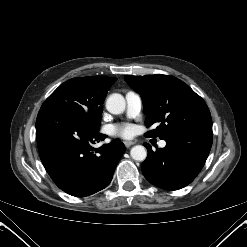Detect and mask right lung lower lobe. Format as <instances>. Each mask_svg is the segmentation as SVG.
<instances>
[{"instance_id":"right-lung-lower-lobe-1","label":"right lung lower lobe","mask_w":247,"mask_h":247,"mask_svg":"<svg viewBox=\"0 0 247 247\" xmlns=\"http://www.w3.org/2000/svg\"><path fill=\"white\" fill-rule=\"evenodd\" d=\"M106 135L81 118L56 108H41L36 140L41 161L54 183L76 196L94 194L111 182L125 152L121 141L99 148L92 145Z\"/></svg>"}]
</instances>
